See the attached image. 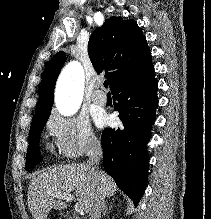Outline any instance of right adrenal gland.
I'll return each mask as SVG.
<instances>
[{
	"label": "right adrenal gland",
	"mask_w": 211,
	"mask_h": 219,
	"mask_svg": "<svg viewBox=\"0 0 211 219\" xmlns=\"http://www.w3.org/2000/svg\"><path fill=\"white\" fill-rule=\"evenodd\" d=\"M106 213H108V208L106 206V204L104 205V208H103V216L106 215Z\"/></svg>",
	"instance_id": "right-adrenal-gland-1"
}]
</instances>
